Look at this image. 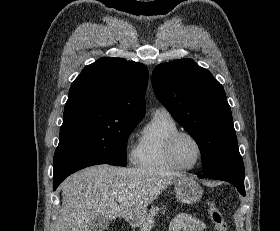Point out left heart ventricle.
<instances>
[{
	"instance_id": "1",
	"label": "left heart ventricle",
	"mask_w": 280,
	"mask_h": 231,
	"mask_svg": "<svg viewBox=\"0 0 280 231\" xmlns=\"http://www.w3.org/2000/svg\"><path fill=\"white\" fill-rule=\"evenodd\" d=\"M174 158L183 167H194L199 159V148L189 136H181L174 146Z\"/></svg>"
}]
</instances>
